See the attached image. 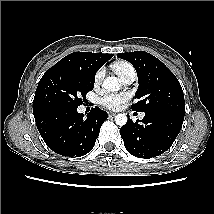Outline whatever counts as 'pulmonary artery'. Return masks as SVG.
<instances>
[{
  "label": "pulmonary artery",
  "mask_w": 214,
  "mask_h": 214,
  "mask_svg": "<svg viewBox=\"0 0 214 214\" xmlns=\"http://www.w3.org/2000/svg\"><path fill=\"white\" fill-rule=\"evenodd\" d=\"M119 77L123 84H131L136 79V71L133 67H129L124 69ZM140 117L143 118L144 114L142 113Z\"/></svg>",
  "instance_id": "obj_1"
}]
</instances>
